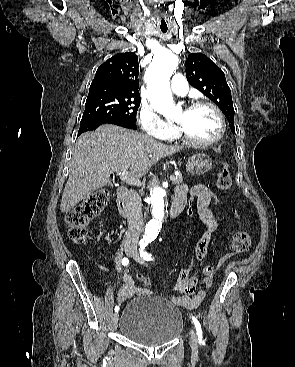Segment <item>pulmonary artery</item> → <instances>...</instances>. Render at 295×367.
Wrapping results in <instances>:
<instances>
[{"label":"pulmonary artery","instance_id":"pulmonary-artery-1","mask_svg":"<svg viewBox=\"0 0 295 367\" xmlns=\"http://www.w3.org/2000/svg\"><path fill=\"white\" fill-rule=\"evenodd\" d=\"M172 91L180 96L186 95L188 92V83L182 74H175L171 81Z\"/></svg>","mask_w":295,"mask_h":367}]
</instances>
